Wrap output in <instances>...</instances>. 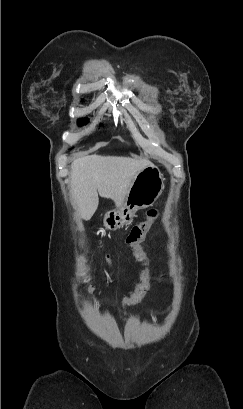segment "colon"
Wrapping results in <instances>:
<instances>
[{
  "label": "colon",
  "mask_w": 243,
  "mask_h": 409,
  "mask_svg": "<svg viewBox=\"0 0 243 409\" xmlns=\"http://www.w3.org/2000/svg\"><path fill=\"white\" fill-rule=\"evenodd\" d=\"M158 215L159 213L157 209H150L147 212L146 220L134 226L126 237V244L132 249L135 256L138 258H142L143 256V252L140 246L142 237L144 233L155 224L156 220L158 219ZM82 278L84 283L87 284L88 289L92 290V286L88 284L87 276L83 275ZM145 293L146 288L143 286H138L132 295L125 298L124 302L126 304L136 303L141 300Z\"/></svg>",
  "instance_id": "obj_1"
}]
</instances>
